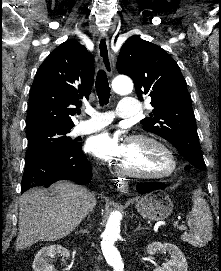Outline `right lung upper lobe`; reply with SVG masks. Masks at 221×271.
<instances>
[{
  "instance_id": "obj_1",
  "label": "right lung upper lobe",
  "mask_w": 221,
  "mask_h": 271,
  "mask_svg": "<svg viewBox=\"0 0 221 271\" xmlns=\"http://www.w3.org/2000/svg\"><path fill=\"white\" fill-rule=\"evenodd\" d=\"M93 57L77 41H67L39 67L31 86L26 131L41 126H74L71 115L91 93Z\"/></svg>"
}]
</instances>
